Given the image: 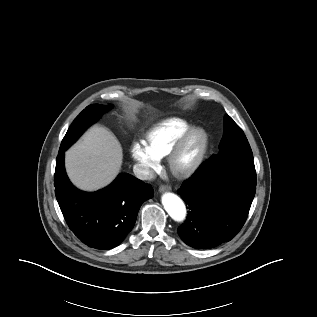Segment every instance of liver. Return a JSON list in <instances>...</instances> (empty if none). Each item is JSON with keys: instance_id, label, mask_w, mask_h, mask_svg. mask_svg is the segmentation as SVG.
Masks as SVG:
<instances>
[{"instance_id": "6515ba94", "label": "liver", "mask_w": 317, "mask_h": 317, "mask_svg": "<svg viewBox=\"0 0 317 317\" xmlns=\"http://www.w3.org/2000/svg\"><path fill=\"white\" fill-rule=\"evenodd\" d=\"M122 147L104 127L93 126L65 154V167L72 183L86 191L110 184L122 165Z\"/></svg>"}]
</instances>
